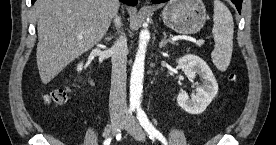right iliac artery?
Returning a JSON list of instances; mask_svg holds the SVG:
<instances>
[{
    "label": "right iliac artery",
    "instance_id": "82829eb1",
    "mask_svg": "<svg viewBox=\"0 0 276 145\" xmlns=\"http://www.w3.org/2000/svg\"><path fill=\"white\" fill-rule=\"evenodd\" d=\"M134 108H129L128 111H127V116L131 115L132 112H133ZM120 131V130H119ZM110 142H111V138H107L105 141H104V145H110Z\"/></svg>",
    "mask_w": 276,
    "mask_h": 145
}]
</instances>
